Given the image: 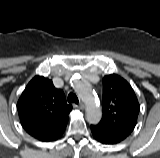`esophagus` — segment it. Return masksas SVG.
Here are the masks:
<instances>
[{"label":"esophagus","mask_w":160,"mask_h":158,"mask_svg":"<svg viewBox=\"0 0 160 158\" xmlns=\"http://www.w3.org/2000/svg\"><path fill=\"white\" fill-rule=\"evenodd\" d=\"M74 107H76V108H78L80 110H83L85 108V105L81 102L78 105H74Z\"/></svg>","instance_id":"34e87169"}]
</instances>
